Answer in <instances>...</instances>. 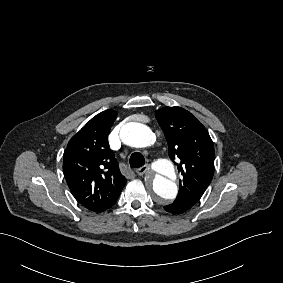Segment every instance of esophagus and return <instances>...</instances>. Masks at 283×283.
I'll list each match as a JSON object with an SVG mask.
<instances>
[{
  "mask_svg": "<svg viewBox=\"0 0 283 283\" xmlns=\"http://www.w3.org/2000/svg\"><path fill=\"white\" fill-rule=\"evenodd\" d=\"M149 169H150V165H149V164H145L144 166L138 168V169L136 170V173H137L138 175H143V174H145Z\"/></svg>",
  "mask_w": 283,
  "mask_h": 283,
  "instance_id": "1",
  "label": "esophagus"
}]
</instances>
